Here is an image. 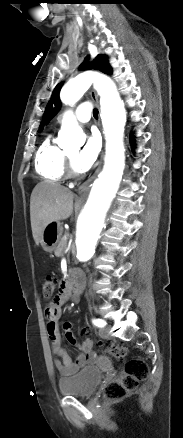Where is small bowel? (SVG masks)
<instances>
[{
    "instance_id": "obj_1",
    "label": "small bowel",
    "mask_w": 183,
    "mask_h": 438,
    "mask_svg": "<svg viewBox=\"0 0 183 438\" xmlns=\"http://www.w3.org/2000/svg\"><path fill=\"white\" fill-rule=\"evenodd\" d=\"M74 278H79L84 282V275L81 272H73L71 278L64 283L59 295L45 310L47 334L51 342L52 352L58 357V359L54 361V364L57 371L63 376L75 374L78 370L93 362L95 359L91 340L87 339L78 343L72 331V324L69 322L64 324L65 338L68 343L77 346L81 352L76 360H73L62 346L59 332V320L61 317L62 305L72 296L70 281Z\"/></svg>"
}]
</instances>
